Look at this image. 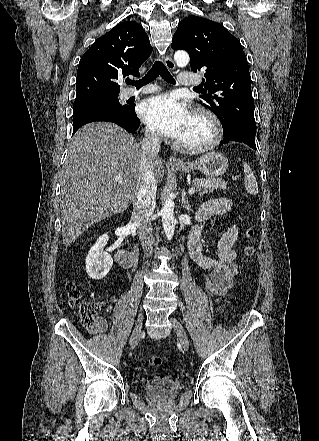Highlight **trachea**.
Returning <instances> with one entry per match:
<instances>
[{
  "mask_svg": "<svg viewBox=\"0 0 319 441\" xmlns=\"http://www.w3.org/2000/svg\"><path fill=\"white\" fill-rule=\"evenodd\" d=\"M159 75L168 83L175 84V79L171 76L166 66L161 61H155L152 68L148 73L139 81L127 80V84L135 85L136 87H142L153 80H155Z\"/></svg>",
  "mask_w": 319,
  "mask_h": 441,
  "instance_id": "obj_1",
  "label": "trachea"
}]
</instances>
